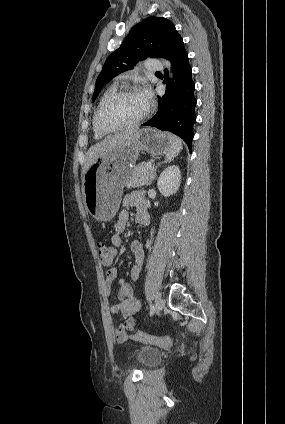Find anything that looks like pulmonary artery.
I'll list each match as a JSON object with an SVG mask.
<instances>
[{"mask_svg":"<svg viewBox=\"0 0 285 424\" xmlns=\"http://www.w3.org/2000/svg\"><path fill=\"white\" fill-rule=\"evenodd\" d=\"M145 68L150 72H160L163 70V64L157 60H147L145 62Z\"/></svg>","mask_w":285,"mask_h":424,"instance_id":"1","label":"pulmonary artery"}]
</instances>
